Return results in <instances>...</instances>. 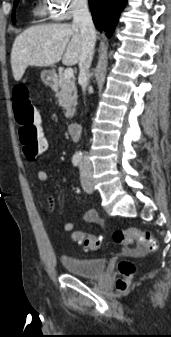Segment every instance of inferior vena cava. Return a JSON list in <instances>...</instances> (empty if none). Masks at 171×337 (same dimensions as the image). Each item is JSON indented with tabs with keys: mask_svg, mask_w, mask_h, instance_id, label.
Masks as SVG:
<instances>
[{
	"mask_svg": "<svg viewBox=\"0 0 171 337\" xmlns=\"http://www.w3.org/2000/svg\"><path fill=\"white\" fill-rule=\"evenodd\" d=\"M73 25L80 29L82 48L79 60V82L85 93L90 78L89 68L93 59L96 32L86 0H77L73 8Z\"/></svg>",
	"mask_w": 171,
	"mask_h": 337,
	"instance_id": "inferior-vena-cava-1",
	"label": "inferior vena cava"
}]
</instances>
